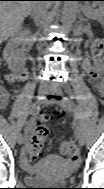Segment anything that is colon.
<instances>
[{"label":"colon","mask_w":104,"mask_h":189,"mask_svg":"<svg viewBox=\"0 0 104 189\" xmlns=\"http://www.w3.org/2000/svg\"><path fill=\"white\" fill-rule=\"evenodd\" d=\"M93 51L96 55H99L102 52V43L100 41H96L93 46ZM102 74V70L99 68H95L93 70V75L95 77L100 78ZM49 134V126L47 121L43 120L38 124L37 131L32 137L30 142V146L28 149V156L32 161L36 160L41 154L42 148L44 146L45 140ZM61 153L70 157L72 160H76L78 158V148L74 141L67 140L61 144Z\"/></svg>","instance_id":"colon-1"}]
</instances>
